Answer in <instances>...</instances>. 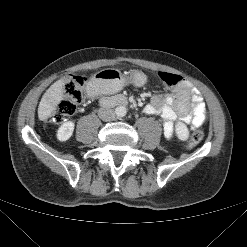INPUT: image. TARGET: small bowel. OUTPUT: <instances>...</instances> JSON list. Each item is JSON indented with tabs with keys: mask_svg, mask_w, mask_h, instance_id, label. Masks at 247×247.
<instances>
[{
	"mask_svg": "<svg viewBox=\"0 0 247 247\" xmlns=\"http://www.w3.org/2000/svg\"><path fill=\"white\" fill-rule=\"evenodd\" d=\"M148 114L160 115L163 123L164 135L171 139L174 135V124L183 121L195 130L205 120L206 107L196 88L188 81H183L171 95L164 99L155 96L145 107Z\"/></svg>",
	"mask_w": 247,
	"mask_h": 247,
	"instance_id": "1",
	"label": "small bowel"
}]
</instances>
